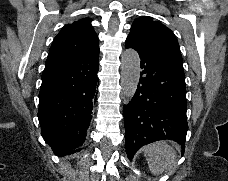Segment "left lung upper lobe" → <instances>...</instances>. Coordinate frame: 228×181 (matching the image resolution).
<instances>
[{
  "label": "left lung upper lobe",
  "instance_id": "obj_1",
  "mask_svg": "<svg viewBox=\"0 0 228 181\" xmlns=\"http://www.w3.org/2000/svg\"><path fill=\"white\" fill-rule=\"evenodd\" d=\"M127 40L143 49L182 61L179 44L173 32L151 17L135 19Z\"/></svg>",
  "mask_w": 228,
  "mask_h": 181
}]
</instances>
